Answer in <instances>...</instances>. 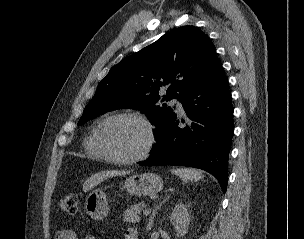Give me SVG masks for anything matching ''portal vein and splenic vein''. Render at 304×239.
Masks as SVG:
<instances>
[{
	"label": "portal vein and splenic vein",
	"mask_w": 304,
	"mask_h": 239,
	"mask_svg": "<svg viewBox=\"0 0 304 239\" xmlns=\"http://www.w3.org/2000/svg\"><path fill=\"white\" fill-rule=\"evenodd\" d=\"M150 212H151V209L148 208V209H145L144 214H145V215H148Z\"/></svg>",
	"instance_id": "18ae733b"
}]
</instances>
